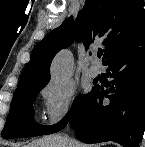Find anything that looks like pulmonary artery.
<instances>
[{
    "label": "pulmonary artery",
    "mask_w": 145,
    "mask_h": 147,
    "mask_svg": "<svg viewBox=\"0 0 145 147\" xmlns=\"http://www.w3.org/2000/svg\"><path fill=\"white\" fill-rule=\"evenodd\" d=\"M91 63L92 64H91V66L89 68V74L92 77H96L100 73V68L98 66V61H97L96 57H92Z\"/></svg>",
    "instance_id": "pulmonary-artery-1"
}]
</instances>
